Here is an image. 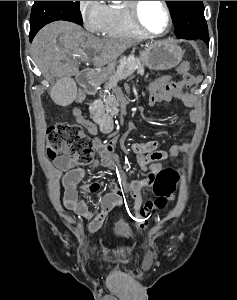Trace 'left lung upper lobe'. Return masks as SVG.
I'll list each match as a JSON object with an SVG mask.
<instances>
[{
  "mask_svg": "<svg viewBox=\"0 0 237 300\" xmlns=\"http://www.w3.org/2000/svg\"><path fill=\"white\" fill-rule=\"evenodd\" d=\"M170 6L177 38L202 39L209 44L208 27L202 1H167Z\"/></svg>",
  "mask_w": 237,
  "mask_h": 300,
  "instance_id": "obj_1",
  "label": "left lung upper lobe"
}]
</instances>
